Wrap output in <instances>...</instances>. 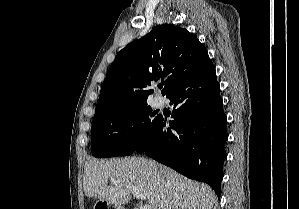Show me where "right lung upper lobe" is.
<instances>
[{"instance_id": "1", "label": "right lung upper lobe", "mask_w": 299, "mask_h": 209, "mask_svg": "<svg viewBox=\"0 0 299 209\" xmlns=\"http://www.w3.org/2000/svg\"><path fill=\"white\" fill-rule=\"evenodd\" d=\"M214 71L207 50L192 33L159 25L118 52L102 84L95 115L147 103L151 85L160 79L165 80L162 95L167 96L185 78Z\"/></svg>"}]
</instances>
